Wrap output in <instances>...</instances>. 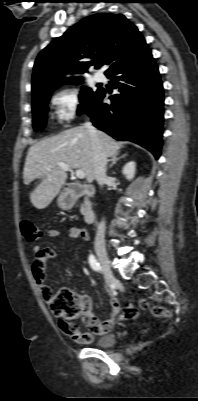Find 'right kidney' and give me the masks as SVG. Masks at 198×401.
<instances>
[{
    "mask_svg": "<svg viewBox=\"0 0 198 401\" xmlns=\"http://www.w3.org/2000/svg\"><path fill=\"white\" fill-rule=\"evenodd\" d=\"M135 170H136V164L134 161H130L125 164V166L122 169L123 175L128 179L132 180L135 175Z\"/></svg>",
    "mask_w": 198,
    "mask_h": 401,
    "instance_id": "obj_1",
    "label": "right kidney"
}]
</instances>
